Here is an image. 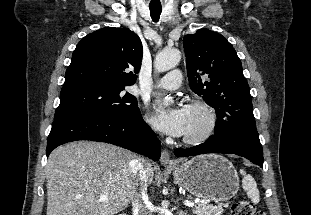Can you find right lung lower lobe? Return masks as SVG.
<instances>
[{
    "label": "right lung lower lobe",
    "mask_w": 311,
    "mask_h": 215,
    "mask_svg": "<svg viewBox=\"0 0 311 215\" xmlns=\"http://www.w3.org/2000/svg\"><path fill=\"white\" fill-rule=\"evenodd\" d=\"M77 140L114 144L154 161L161 155L160 141L141 113L121 119L77 115L56 118L47 139V156L57 146Z\"/></svg>",
    "instance_id": "98d812e1"
}]
</instances>
